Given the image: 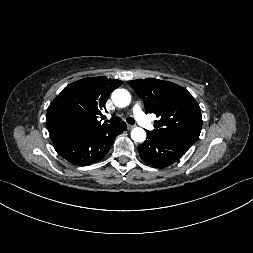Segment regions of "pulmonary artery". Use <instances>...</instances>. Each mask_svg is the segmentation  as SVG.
Here are the masks:
<instances>
[{
    "label": "pulmonary artery",
    "mask_w": 253,
    "mask_h": 253,
    "mask_svg": "<svg viewBox=\"0 0 253 253\" xmlns=\"http://www.w3.org/2000/svg\"><path fill=\"white\" fill-rule=\"evenodd\" d=\"M132 112L137 122L148 130H152L154 125L152 121L144 114L140 104L136 103L132 107Z\"/></svg>",
    "instance_id": "1"
}]
</instances>
